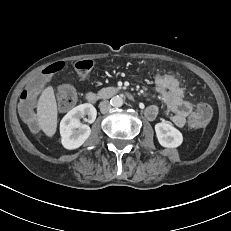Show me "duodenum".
<instances>
[{"instance_id": "410a0bca", "label": "duodenum", "mask_w": 231, "mask_h": 231, "mask_svg": "<svg viewBox=\"0 0 231 231\" xmlns=\"http://www.w3.org/2000/svg\"><path fill=\"white\" fill-rule=\"evenodd\" d=\"M120 92L121 89L117 87H106L97 92H88L85 98L88 103L95 104L99 100L111 98Z\"/></svg>"}]
</instances>
